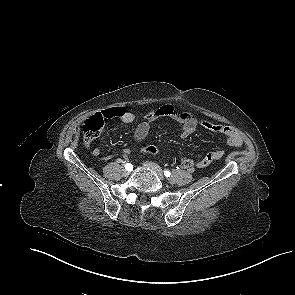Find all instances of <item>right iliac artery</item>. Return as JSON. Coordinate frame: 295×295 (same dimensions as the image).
<instances>
[{"label":"right iliac artery","instance_id":"obj_1","mask_svg":"<svg viewBox=\"0 0 295 295\" xmlns=\"http://www.w3.org/2000/svg\"><path fill=\"white\" fill-rule=\"evenodd\" d=\"M125 170L132 171L133 170V165L131 163H126L125 164Z\"/></svg>","mask_w":295,"mask_h":295}]
</instances>
